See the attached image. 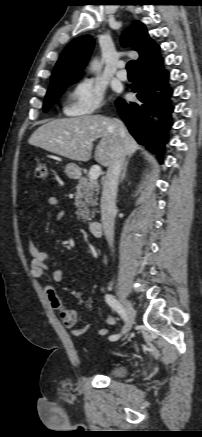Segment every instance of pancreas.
<instances>
[{
	"label": "pancreas",
	"mask_w": 202,
	"mask_h": 437,
	"mask_svg": "<svg viewBox=\"0 0 202 437\" xmlns=\"http://www.w3.org/2000/svg\"><path fill=\"white\" fill-rule=\"evenodd\" d=\"M99 189L100 186L96 180H91L89 177L79 179L75 193L76 215L79 220L84 222L91 220L89 207L97 205ZM93 214L94 210L92 211Z\"/></svg>",
	"instance_id": "pancreas-1"
}]
</instances>
